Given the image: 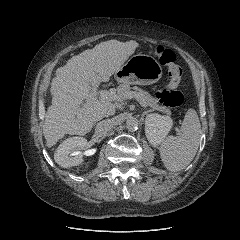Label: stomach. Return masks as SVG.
<instances>
[{
    "label": "stomach",
    "instance_id": "stomach-1",
    "mask_svg": "<svg viewBox=\"0 0 240 240\" xmlns=\"http://www.w3.org/2000/svg\"><path fill=\"white\" fill-rule=\"evenodd\" d=\"M117 82L138 85L156 83L162 77V67L150 55L136 54L114 73Z\"/></svg>",
    "mask_w": 240,
    "mask_h": 240
}]
</instances>
